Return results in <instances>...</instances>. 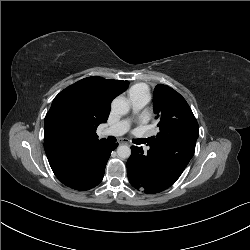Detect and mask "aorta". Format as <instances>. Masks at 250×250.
Returning a JSON list of instances; mask_svg holds the SVG:
<instances>
[{"label": "aorta", "instance_id": "1", "mask_svg": "<svg viewBox=\"0 0 250 250\" xmlns=\"http://www.w3.org/2000/svg\"><path fill=\"white\" fill-rule=\"evenodd\" d=\"M111 109L117 115H125L129 112L130 106L125 98L117 97L112 101ZM117 154L120 158H129L131 155V149L126 145H121L117 148Z\"/></svg>", "mask_w": 250, "mask_h": 250}]
</instances>
